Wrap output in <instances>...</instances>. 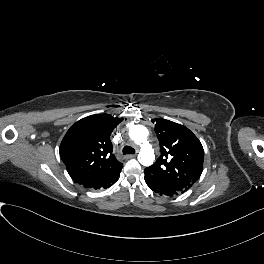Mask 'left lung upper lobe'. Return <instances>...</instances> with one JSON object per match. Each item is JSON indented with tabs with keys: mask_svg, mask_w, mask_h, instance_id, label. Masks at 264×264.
<instances>
[{
	"mask_svg": "<svg viewBox=\"0 0 264 264\" xmlns=\"http://www.w3.org/2000/svg\"><path fill=\"white\" fill-rule=\"evenodd\" d=\"M155 122L161 155L153 165L144 169L145 177L183 193L192 187L203 171L202 144L183 125L160 118Z\"/></svg>",
	"mask_w": 264,
	"mask_h": 264,
	"instance_id": "obj_1",
	"label": "left lung upper lobe"
}]
</instances>
